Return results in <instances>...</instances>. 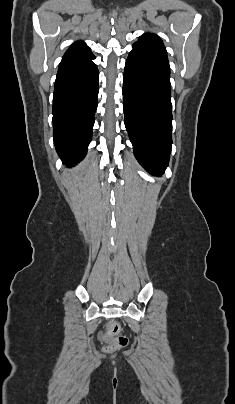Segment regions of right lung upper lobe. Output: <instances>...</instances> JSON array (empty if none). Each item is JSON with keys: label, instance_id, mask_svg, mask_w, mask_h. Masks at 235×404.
<instances>
[{"label": "right lung upper lobe", "instance_id": "cb5924a9", "mask_svg": "<svg viewBox=\"0 0 235 404\" xmlns=\"http://www.w3.org/2000/svg\"><path fill=\"white\" fill-rule=\"evenodd\" d=\"M91 56H93V54L84 42H76L66 51L62 61L85 59Z\"/></svg>", "mask_w": 235, "mask_h": 404}]
</instances>
